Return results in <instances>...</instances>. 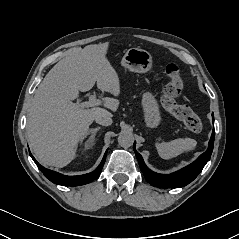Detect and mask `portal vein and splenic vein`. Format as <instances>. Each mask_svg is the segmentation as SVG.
I'll return each mask as SVG.
<instances>
[{
  "label": "portal vein and splenic vein",
  "mask_w": 239,
  "mask_h": 239,
  "mask_svg": "<svg viewBox=\"0 0 239 239\" xmlns=\"http://www.w3.org/2000/svg\"><path fill=\"white\" fill-rule=\"evenodd\" d=\"M101 103H102V101L97 99L95 95H90L89 101L76 102V103H74V105L77 108H89V107L101 105Z\"/></svg>",
  "instance_id": "18ae733b"
}]
</instances>
